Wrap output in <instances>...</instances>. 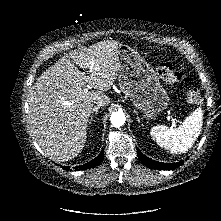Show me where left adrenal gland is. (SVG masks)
I'll list each match as a JSON object with an SVG mask.
<instances>
[{
	"mask_svg": "<svg viewBox=\"0 0 221 221\" xmlns=\"http://www.w3.org/2000/svg\"><path fill=\"white\" fill-rule=\"evenodd\" d=\"M135 113L137 114L136 111H135ZM137 121L140 123V118H139L138 114H137Z\"/></svg>",
	"mask_w": 221,
	"mask_h": 221,
	"instance_id": "left-adrenal-gland-1",
	"label": "left adrenal gland"
}]
</instances>
